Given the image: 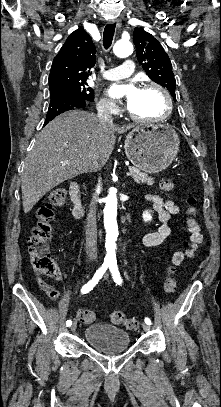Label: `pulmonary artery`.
<instances>
[{
  "instance_id": "pulmonary-artery-1",
  "label": "pulmonary artery",
  "mask_w": 221,
  "mask_h": 407,
  "mask_svg": "<svg viewBox=\"0 0 221 407\" xmlns=\"http://www.w3.org/2000/svg\"><path fill=\"white\" fill-rule=\"evenodd\" d=\"M135 65L131 58H125L122 65L107 69L103 73V77L107 80H116L131 75Z\"/></svg>"
}]
</instances>
